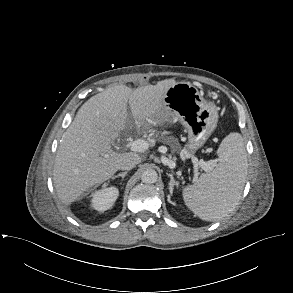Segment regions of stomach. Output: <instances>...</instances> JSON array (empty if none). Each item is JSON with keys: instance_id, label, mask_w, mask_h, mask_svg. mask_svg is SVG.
I'll return each mask as SVG.
<instances>
[{"instance_id": "obj_1", "label": "stomach", "mask_w": 293, "mask_h": 293, "mask_svg": "<svg viewBox=\"0 0 293 293\" xmlns=\"http://www.w3.org/2000/svg\"><path fill=\"white\" fill-rule=\"evenodd\" d=\"M163 115L155 123L179 121L188 131L187 150L194 153L202 147L218 122V109L206 101L189 82L170 86L163 99Z\"/></svg>"}]
</instances>
